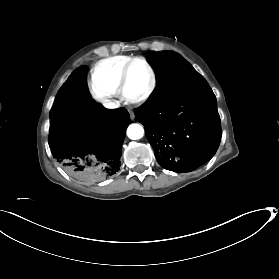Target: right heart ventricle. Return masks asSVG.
Returning <instances> with one entry per match:
<instances>
[{"label": "right heart ventricle", "mask_w": 279, "mask_h": 279, "mask_svg": "<svg viewBox=\"0 0 279 279\" xmlns=\"http://www.w3.org/2000/svg\"><path fill=\"white\" fill-rule=\"evenodd\" d=\"M131 56H112L98 61L91 69L92 85L104 88L112 95H117L119 90V77L122 68Z\"/></svg>", "instance_id": "right-heart-ventricle-1"}]
</instances>
